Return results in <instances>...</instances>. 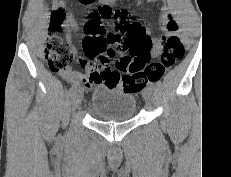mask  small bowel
I'll list each match as a JSON object with an SVG mask.
<instances>
[{
	"instance_id": "1",
	"label": "small bowel",
	"mask_w": 231,
	"mask_h": 177,
	"mask_svg": "<svg viewBox=\"0 0 231 177\" xmlns=\"http://www.w3.org/2000/svg\"><path fill=\"white\" fill-rule=\"evenodd\" d=\"M116 0H100L103 5H108ZM149 2H155L157 0H148ZM164 10V9H163ZM55 14H60L61 19V26H64L70 30H77V24L73 18V15L70 12H65L63 9H58ZM54 14V15H55ZM53 15V16H54ZM168 20V15L163 12L160 16V22L162 25H165ZM139 24V23H138ZM142 26L141 24H139ZM146 33L150 36V31L142 26ZM163 47V41L161 38H155L152 42L151 46V55L153 57H157L160 55L161 50ZM80 65L86 70L85 74L73 71L71 69H67L61 72V76L65 78L67 81L72 82L76 87L81 89H89L94 85L98 84H106L108 86H116L113 83H110L109 80L103 76L102 74V67H100L95 61L89 60L86 57H78L77 58Z\"/></svg>"
}]
</instances>
